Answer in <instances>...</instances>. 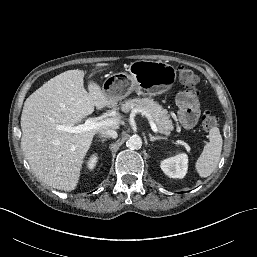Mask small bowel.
Returning <instances> with one entry per match:
<instances>
[{"label": "small bowel", "mask_w": 257, "mask_h": 257, "mask_svg": "<svg viewBox=\"0 0 257 257\" xmlns=\"http://www.w3.org/2000/svg\"><path fill=\"white\" fill-rule=\"evenodd\" d=\"M179 107L178 123L184 128H192L199 116V102L191 91H182L177 96Z\"/></svg>", "instance_id": "obj_1"}]
</instances>
